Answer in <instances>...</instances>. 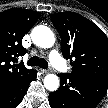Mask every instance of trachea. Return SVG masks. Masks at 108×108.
Masks as SVG:
<instances>
[{
	"instance_id": "3493384b",
	"label": "trachea",
	"mask_w": 108,
	"mask_h": 108,
	"mask_svg": "<svg viewBox=\"0 0 108 108\" xmlns=\"http://www.w3.org/2000/svg\"><path fill=\"white\" fill-rule=\"evenodd\" d=\"M27 65L29 66H39L43 69H47L48 68V62L43 59V58H39V57H32L28 60Z\"/></svg>"
}]
</instances>
